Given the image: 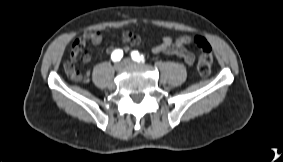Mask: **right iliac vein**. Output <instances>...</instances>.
I'll return each mask as SVG.
<instances>
[{
    "label": "right iliac vein",
    "mask_w": 283,
    "mask_h": 162,
    "mask_svg": "<svg viewBox=\"0 0 283 162\" xmlns=\"http://www.w3.org/2000/svg\"><path fill=\"white\" fill-rule=\"evenodd\" d=\"M124 66H125V64H124L123 62H119V63H117V64L115 65V69H116L117 71H120V70H122V69L124 68Z\"/></svg>",
    "instance_id": "right-iliac-vein-1"
}]
</instances>
